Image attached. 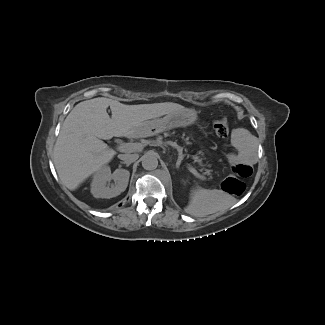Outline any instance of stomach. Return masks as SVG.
Returning a JSON list of instances; mask_svg holds the SVG:
<instances>
[{
	"label": "stomach",
	"instance_id": "1",
	"mask_svg": "<svg viewBox=\"0 0 325 325\" xmlns=\"http://www.w3.org/2000/svg\"><path fill=\"white\" fill-rule=\"evenodd\" d=\"M196 119V113L177 111L167 114L162 119H156L147 122L136 130L137 134L142 137L158 134L166 129L187 126Z\"/></svg>",
	"mask_w": 325,
	"mask_h": 325
}]
</instances>
